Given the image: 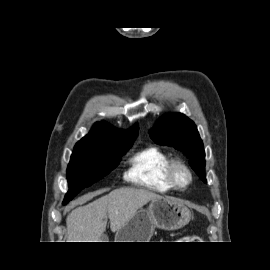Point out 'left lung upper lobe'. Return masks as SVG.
Wrapping results in <instances>:
<instances>
[{"instance_id":"1","label":"left lung upper lobe","mask_w":270,"mask_h":270,"mask_svg":"<svg viewBox=\"0 0 270 270\" xmlns=\"http://www.w3.org/2000/svg\"><path fill=\"white\" fill-rule=\"evenodd\" d=\"M150 137L158 144L172 146L190 158V166L205 180V152L203 143L192 120L181 113L161 117Z\"/></svg>"}]
</instances>
